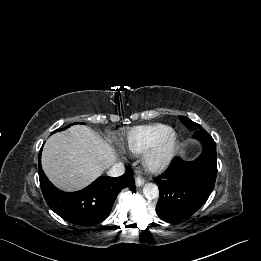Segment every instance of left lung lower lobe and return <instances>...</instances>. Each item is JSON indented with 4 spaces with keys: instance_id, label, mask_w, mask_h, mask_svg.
<instances>
[{
    "instance_id": "1",
    "label": "left lung lower lobe",
    "mask_w": 261,
    "mask_h": 261,
    "mask_svg": "<svg viewBox=\"0 0 261 261\" xmlns=\"http://www.w3.org/2000/svg\"><path fill=\"white\" fill-rule=\"evenodd\" d=\"M193 137L202 143V154L192 162L175 158L169 169L154 180L160 192L156 212L166 222L193 215L207 201L215 185L216 144L204 129L197 130Z\"/></svg>"
}]
</instances>
